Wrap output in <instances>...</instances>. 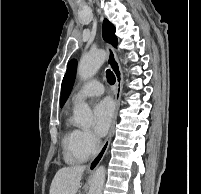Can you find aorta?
I'll use <instances>...</instances> for the list:
<instances>
[{
	"mask_svg": "<svg viewBox=\"0 0 201 194\" xmlns=\"http://www.w3.org/2000/svg\"><path fill=\"white\" fill-rule=\"evenodd\" d=\"M105 58L106 52L104 50H95L83 56L77 70L80 78L88 80L93 77L103 65ZM92 120V112L87 104L82 103L74 109V122L77 125L88 128L91 126ZM105 176V167H98L92 176L88 194H102Z\"/></svg>",
	"mask_w": 201,
	"mask_h": 194,
	"instance_id": "obj_1",
	"label": "aorta"
}]
</instances>
